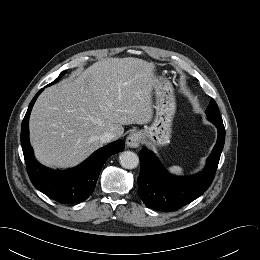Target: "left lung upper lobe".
Masks as SVG:
<instances>
[{
    "mask_svg": "<svg viewBox=\"0 0 260 260\" xmlns=\"http://www.w3.org/2000/svg\"><path fill=\"white\" fill-rule=\"evenodd\" d=\"M207 117L210 121L223 122L221 116L219 115V109L216 102L212 99L209 107L206 110Z\"/></svg>",
    "mask_w": 260,
    "mask_h": 260,
    "instance_id": "1",
    "label": "left lung upper lobe"
}]
</instances>
